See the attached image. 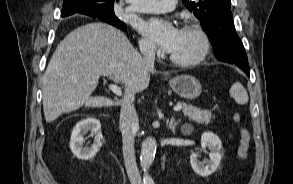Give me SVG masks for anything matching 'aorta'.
<instances>
[{
    "mask_svg": "<svg viewBox=\"0 0 293 184\" xmlns=\"http://www.w3.org/2000/svg\"><path fill=\"white\" fill-rule=\"evenodd\" d=\"M156 141L153 138H147L143 143L141 147V166L144 171L143 176V183L144 184H154L153 179L148 174V169L152 165V162L154 161L155 153H156Z\"/></svg>",
    "mask_w": 293,
    "mask_h": 184,
    "instance_id": "1",
    "label": "aorta"
}]
</instances>
